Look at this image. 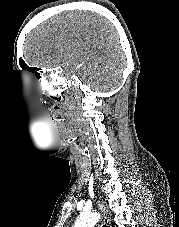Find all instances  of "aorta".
I'll return each instance as SVG.
<instances>
[{"label": "aorta", "instance_id": "1", "mask_svg": "<svg viewBox=\"0 0 179 227\" xmlns=\"http://www.w3.org/2000/svg\"><path fill=\"white\" fill-rule=\"evenodd\" d=\"M100 219V214L96 212H82L77 217L74 227H94Z\"/></svg>", "mask_w": 179, "mask_h": 227}]
</instances>
